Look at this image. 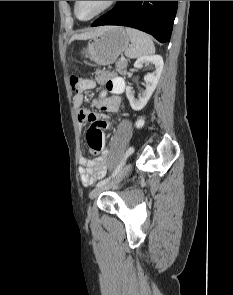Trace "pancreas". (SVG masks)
Segmentation results:
<instances>
[{
	"instance_id": "cf45deb5",
	"label": "pancreas",
	"mask_w": 233,
	"mask_h": 295,
	"mask_svg": "<svg viewBox=\"0 0 233 295\" xmlns=\"http://www.w3.org/2000/svg\"><path fill=\"white\" fill-rule=\"evenodd\" d=\"M127 60H119L116 62V70L121 74H125V69L127 68Z\"/></svg>"
}]
</instances>
